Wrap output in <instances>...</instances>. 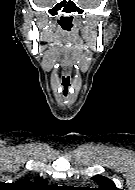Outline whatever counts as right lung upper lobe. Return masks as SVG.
I'll use <instances>...</instances> for the list:
<instances>
[{
  "label": "right lung upper lobe",
  "mask_w": 135,
  "mask_h": 190,
  "mask_svg": "<svg viewBox=\"0 0 135 190\" xmlns=\"http://www.w3.org/2000/svg\"><path fill=\"white\" fill-rule=\"evenodd\" d=\"M17 190H44L48 187L46 179L37 177L34 183L29 180L22 179L12 186Z\"/></svg>",
  "instance_id": "right-lung-upper-lobe-1"
}]
</instances>
